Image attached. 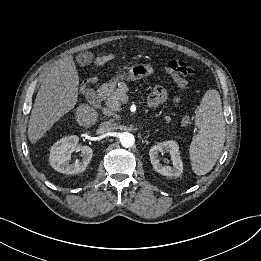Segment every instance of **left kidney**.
<instances>
[{"label": "left kidney", "instance_id": "obj_1", "mask_svg": "<svg viewBox=\"0 0 261 261\" xmlns=\"http://www.w3.org/2000/svg\"><path fill=\"white\" fill-rule=\"evenodd\" d=\"M159 153H169L173 166H164L158 159ZM179 147L176 141L170 140L158 143L149 150V156L153 168L161 175L167 177H178L183 172V163L179 155Z\"/></svg>", "mask_w": 261, "mask_h": 261}]
</instances>
